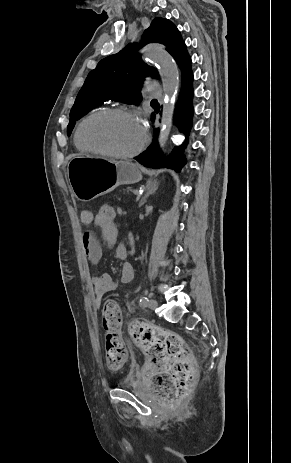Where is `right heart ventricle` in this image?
<instances>
[{"label":"right heart ventricle","instance_id":"right-heart-ventricle-1","mask_svg":"<svg viewBox=\"0 0 291 463\" xmlns=\"http://www.w3.org/2000/svg\"><path fill=\"white\" fill-rule=\"evenodd\" d=\"M75 144H76V147L78 148V150L85 151V149H83L82 146L77 142L76 134H75Z\"/></svg>","mask_w":291,"mask_h":463}]
</instances>
